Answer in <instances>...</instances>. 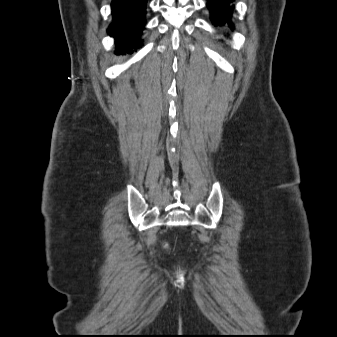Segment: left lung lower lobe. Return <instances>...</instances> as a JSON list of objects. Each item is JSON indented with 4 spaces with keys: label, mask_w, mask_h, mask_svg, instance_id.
I'll return each mask as SVG.
<instances>
[{
    "label": "left lung lower lobe",
    "mask_w": 337,
    "mask_h": 337,
    "mask_svg": "<svg viewBox=\"0 0 337 337\" xmlns=\"http://www.w3.org/2000/svg\"><path fill=\"white\" fill-rule=\"evenodd\" d=\"M234 0H209L207 3L211 11V18L216 26H227L231 28V21L234 6L231 4Z\"/></svg>",
    "instance_id": "0a47b994"
}]
</instances>
